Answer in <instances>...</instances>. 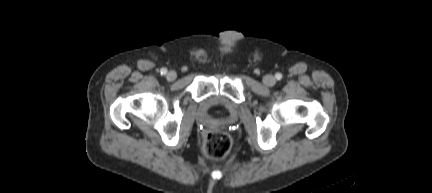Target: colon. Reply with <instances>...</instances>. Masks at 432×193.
Wrapping results in <instances>:
<instances>
[{
    "instance_id": "obj_1",
    "label": "colon",
    "mask_w": 432,
    "mask_h": 193,
    "mask_svg": "<svg viewBox=\"0 0 432 193\" xmlns=\"http://www.w3.org/2000/svg\"><path fill=\"white\" fill-rule=\"evenodd\" d=\"M232 139L224 131L210 132L203 144L205 155L212 159H221L228 155L231 150Z\"/></svg>"
}]
</instances>
